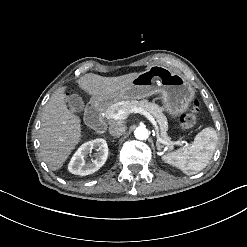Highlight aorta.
Listing matches in <instances>:
<instances>
[{
	"label": "aorta",
	"instance_id": "762f6f07",
	"mask_svg": "<svg viewBox=\"0 0 247 247\" xmlns=\"http://www.w3.org/2000/svg\"><path fill=\"white\" fill-rule=\"evenodd\" d=\"M149 134V130L143 126L137 127L134 131L135 138L138 140H146L149 137Z\"/></svg>",
	"mask_w": 247,
	"mask_h": 247
}]
</instances>
